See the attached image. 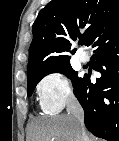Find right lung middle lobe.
I'll return each instance as SVG.
<instances>
[{
    "mask_svg": "<svg viewBox=\"0 0 119 141\" xmlns=\"http://www.w3.org/2000/svg\"><path fill=\"white\" fill-rule=\"evenodd\" d=\"M55 72L65 74L68 78L72 80L73 86H75L77 81L79 80L77 76V72L72 69L70 63H67L65 65H62L53 69L35 72L33 74L28 75V96L32 94L35 86L44 76L50 73H55Z\"/></svg>",
    "mask_w": 119,
    "mask_h": 141,
    "instance_id": "dd1d6c3e",
    "label": "right lung middle lobe"
}]
</instances>
